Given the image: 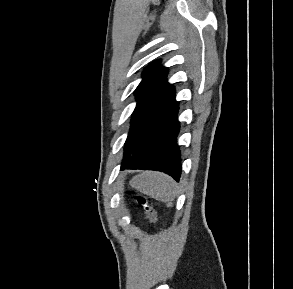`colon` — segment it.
Listing matches in <instances>:
<instances>
[{"label": "colon", "mask_w": 293, "mask_h": 289, "mask_svg": "<svg viewBox=\"0 0 293 289\" xmlns=\"http://www.w3.org/2000/svg\"><path fill=\"white\" fill-rule=\"evenodd\" d=\"M136 201L142 207L145 213L146 219L152 224H157L158 219H157L156 211L153 204L149 201V199L143 195H137Z\"/></svg>", "instance_id": "obj_1"}]
</instances>
